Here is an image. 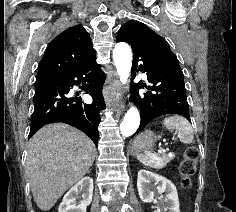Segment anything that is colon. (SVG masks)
I'll use <instances>...</instances> for the list:
<instances>
[{
	"label": "colon",
	"instance_id": "5ec220e1",
	"mask_svg": "<svg viewBox=\"0 0 236 212\" xmlns=\"http://www.w3.org/2000/svg\"><path fill=\"white\" fill-rule=\"evenodd\" d=\"M198 150L195 147L186 149L184 158L179 164V174L181 178V185L185 189L192 186V178L197 171Z\"/></svg>",
	"mask_w": 236,
	"mask_h": 212
}]
</instances>
